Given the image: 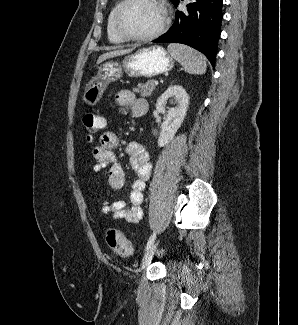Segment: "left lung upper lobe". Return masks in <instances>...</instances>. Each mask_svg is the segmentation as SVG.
I'll use <instances>...</instances> for the list:
<instances>
[{
    "instance_id": "1",
    "label": "left lung upper lobe",
    "mask_w": 298,
    "mask_h": 325,
    "mask_svg": "<svg viewBox=\"0 0 298 325\" xmlns=\"http://www.w3.org/2000/svg\"><path fill=\"white\" fill-rule=\"evenodd\" d=\"M172 3L176 2L177 0H170Z\"/></svg>"
}]
</instances>
